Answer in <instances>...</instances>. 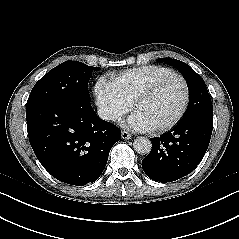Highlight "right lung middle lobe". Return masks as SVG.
Here are the masks:
<instances>
[{
    "label": "right lung middle lobe",
    "mask_w": 239,
    "mask_h": 239,
    "mask_svg": "<svg viewBox=\"0 0 239 239\" xmlns=\"http://www.w3.org/2000/svg\"><path fill=\"white\" fill-rule=\"evenodd\" d=\"M100 68L66 61L45 74L33 87L27 107L40 103H90L88 81Z\"/></svg>",
    "instance_id": "right-lung-middle-lobe-1"
}]
</instances>
